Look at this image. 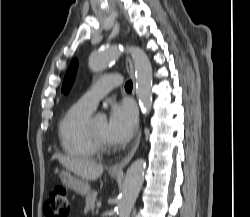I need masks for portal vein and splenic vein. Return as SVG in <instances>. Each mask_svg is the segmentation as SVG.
I'll return each mask as SVG.
<instances>
[{
    "instance_id": "obj_1",
    "label": "portal vein and splenic vein",
    "mask_w": 250,
    "mask_h": 217,
    "mask_svg": "<svg viewBox=\"0 0 250 217\" xmlns=\"http://www.w3.org/2000/svg\"><path fill=\"white\" fill-rule=\"evenodd\" d=\"M101 202H97V208H100L101 207Z\"/></svg>"
}]
</instances>
